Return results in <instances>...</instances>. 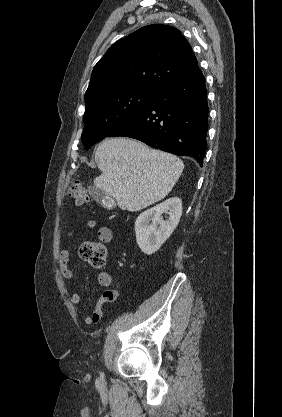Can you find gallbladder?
Listing matches in <instances>:
<instances>
[{
  "label": "gallbladder",
  "mask_w": 282,
  "mask_h": 417,
  "mask_svg": "<svg viewBox=\"0 0 282 417\" xmlns=\"http://www.w3.org/2000/svg\"><path fill=\"white\" fill-rule=\"evenodd\" d=\"M88 192L91 194L92 198L102 204V206H106V202H108L110 196L102 190V188H97V186H88Z\"/></svg>",
  "instance_id": "gallbladder-1"
}]
</instances>
